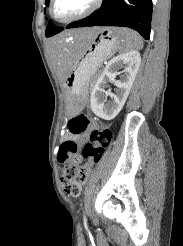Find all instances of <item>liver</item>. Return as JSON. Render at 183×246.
<instances>
[{
    "instance_id": "obj_1",
    "label": "liver",
    "mask_w": 183,
    "mask_h": 246,
    "mask_svg": "<svg viewBox=\"0 0 183 246\" xmlns=\"http://www.w3.org/2000/svg\"><path fill=\"white\" fill-rule=\"evenodd\" d=\"M100 28H83L65 32L49 43V52L60 81H65L73 68L74 54L67 50L63 41L68 35L87 41L91 40Z\"/></svg>"
}]
</instances>
